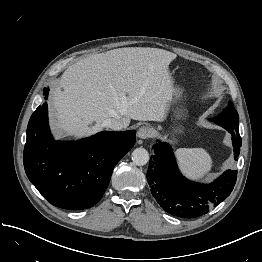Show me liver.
<instances>
[{"label": "liver", "mask_w": 262, "mask_h": 262, "mask_svg": "<svg viewBox=\"0 0 262 262\" xmlns=\"http://www.w3.org/2000/svg\"><path fill=\"white\" fill-rule=\"evenodd\" d=\"M174 59L163 49L128 47L76 62L52 92L53 127L82 137L102 130L110 118L127 125L130 119L163 121L174 93Z\"/></svg>", "instance_id": "obj_1"}]
</instances>
